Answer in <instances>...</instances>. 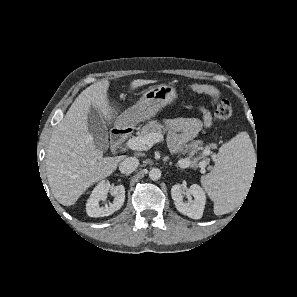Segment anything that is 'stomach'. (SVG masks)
I'll return each instance as SVG.
<instances>
[{"instance_id": "1", "label": "stomach", "mask_w": 297, "mask_h": 297, "mask_svg": "<svg viewBox=\"0 0 297 297\" xmlns=\"http://www.w3.org/2000/svg\"><path fill=\"white\" fill-rule=\"evenodd\" d=\"M178 97L175 87L161 84L149 88L140 100L126 110L119 119L118 127L134 125L155 116L158 111Z\"/></svg>"}]
</instances>
